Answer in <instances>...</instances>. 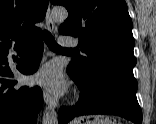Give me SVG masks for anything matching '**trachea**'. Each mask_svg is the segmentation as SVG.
<instances>
[{"mask_svg": "<svg viewBox=\"0 0 156 124\" xmlns=\"http://www.w3.org/2000/svg\"><path fill=\"white\" fill-rule=\"evenodd\" d=\"M43 39H44L45 43L47 44V46L51 50H55V51H72V49L63 48V47L59 46L57 44V42L55 41L54 37L52 36V34L47 30H44Z\"/></svg>", "mask_w": 156, "mask_h": 124, "instance_id": "obj_1", "label": "trachea"}]
</instances>
